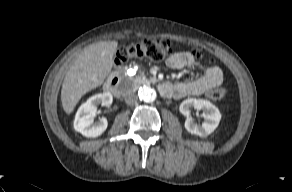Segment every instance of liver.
Here are the masks:
<instances>
[{
	"label": "liver",
	"instance_id": "1",
	"mask_svg": "<svg viewBox=\"0 0 292 192\" xmlns=\"http://www.w3.org/2000/svg\"><path fill=\"white\" fill-rule=\"evenodd\" d=\"M117 41H103L87 46L69 68L61 90L62 107L71 114L87 92L103 84L111 72Z\"/></svg>",
	"mask_w": 292,
	"mask_h": 192
}]
</instances>
